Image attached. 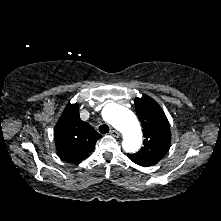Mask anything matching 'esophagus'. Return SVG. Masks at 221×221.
<instances>
[{
  "mask_svg": "<svg viewBox=\"0 0 221 221\" xmlns=\"http://www.w3.org/2000/svg\"><path fill=\"white\" fill-rule=\"evenodd\" d=\"M110 135H112L115 138L120 137V133L117 130H114V129L110 131Z\"/></svg>",
  "mask_w": 221,
  "mask_h": 221,
  "instance_id": "esophagus-1",
  "label": "esophagus"
}]
</instances>
